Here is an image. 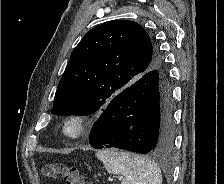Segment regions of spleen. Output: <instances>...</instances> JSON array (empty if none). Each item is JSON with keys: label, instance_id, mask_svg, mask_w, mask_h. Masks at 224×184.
I'll use <instances>...</instances> for the list:
<instances>
[{"label": "spleen", "instance_id": "3e777b00", "mask_svg": "<svg viewBox=\"0 0 224 184\" xmlns=\"http://www.w3.org/2000/svg\"><path fill=\"white\" fill-rule=\"evenodd\" d=\"M108 173L123 175L121 184H162V174L157 164L143 156L117 151L96 152Z\"/></svg>", "mask_w": 224, "mask_h": 184}]
</instances>
